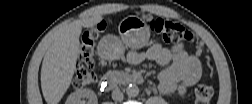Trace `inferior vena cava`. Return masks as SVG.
Wrapping results in <instances>:
<instances>
[{
    "label": "inferior vena cava",
    "mask_w": 252,
    "mask_h": 104,
    "mask_svg": "<svg viewBox=\"0 0 252 104\" xmlns=\"http://www.w3.org/2000/svg\"><path fill=\"white\" fill-rule=\"evenodd\" d=\"M124 96L122 91L119 88H116L112 92V99L116 102H121L123 100Z\"/></svg>",
    "instance_id": "inferior-vena-cava-1"
}]
</instances>
